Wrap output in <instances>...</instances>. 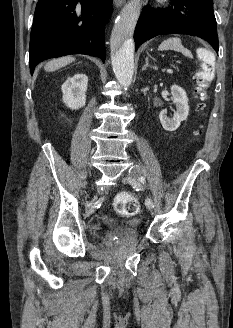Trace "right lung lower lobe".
<instances>
[{
    "label": "right lung lower lobe",
    "mask_w": 233,
    "mask_h": 328,
    "mask_svg": "<svg viewBox=\"0 0 233 328\" xmlns=\"http://www.w3.org/2000/svg\"><path fill=\"white\" fill-rule=\"evenodd\" d=\"M111 0H39L31 30L29 62L86 54L105 61L104 25Z\"/></svg>",
    "instance_id": "obj_1"
}]
</instances>
